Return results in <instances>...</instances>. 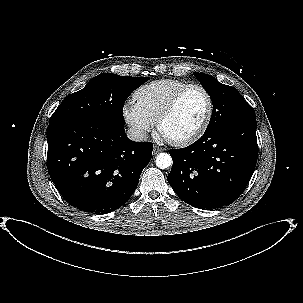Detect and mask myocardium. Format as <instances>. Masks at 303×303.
Wrapping results in <instances>:
<instances>
[{
  "label": "myocardium",
  "instance_id": "obj_1",
  "mask_svg": "<svg viewBox=\"0 0 303 303\" xmlns=\"http://www.w3.org/2000/svg\"><path fill=\"white\" fill-rule=\"evenodd\" d=\"M191 89L200 90L206 97L207 111H206L205 117H204L203 121L201 122L200 126L192 134H190L186 137H183V138H179V139L168 138L163 134L162 126H163L164 122L173 114V112L177 108V106L180 103L183 96ZM213 112H214L213 100H212V97H211L210 93L208 92V90L200 84H188L187 86L183 87L181 90H179L173 96V98L169 101V103L166 105V107L159 114V116L156 120L157 129L172 144H174L176 146H187L189 144L196 142L198 139H200L204 135V133L208 129L209 124L211 122Z\"/></svg>",
  "mask_w": 303,
  "mask_h": 303
}]
</instances>
